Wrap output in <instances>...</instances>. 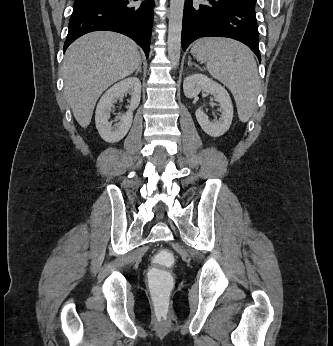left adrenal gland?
<instances>
[{
	"label": "left adrenal gland",
	"instance_id": "left-adrenal-gland-1",
	"mask_svg": "<svg viewBox=\"0 0 333 346\" xmlns=\"http://www.w3.org/2000/svg\"><path fill=\"white\" fill-rule=\"evenodd\" d=\"M192 65H194V66H196V67H199L197 64L192 63L191 57L189 56V57H188V66H192Z\"/></svg>",
	"mask_w": 333,
	"mask_h": 346
}]
</instances>
